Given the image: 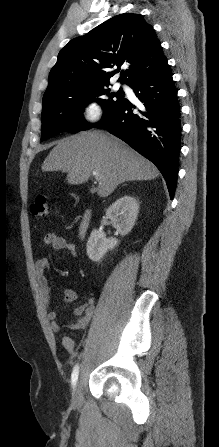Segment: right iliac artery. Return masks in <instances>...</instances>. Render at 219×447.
Masks as SVG:
<instances>
[{
    "mask_svg": "<svg viewBox=\"0 0 219 447\" xmlns=\"http://www.w3.org/2000/svg\"><path fill=\"white\" fill-rule=\"evenodd\" d=\"M78 374H79V367H78V365H76L74 367L72 375H71L72 386H75L77 379H78Z\"/></svg>",
    "mask_w": 219,
    "mask_h": 447,
    "instance_id": "82829eb1",
    "label": "right iliac artery"
}]
</instances>
